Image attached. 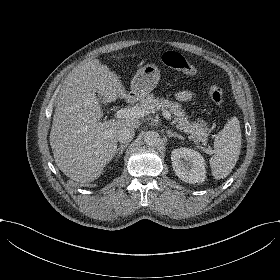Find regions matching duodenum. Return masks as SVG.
Instances as JSON below:
<instances>
[{"instance_id":"410a0bca","label":"duodenum","mask_w":280,"mask_h":280,"mask_svg":"<svg viewBox=\"0 0 280 280\" xmlns=\"http://www.w3.org/2000/svg\"><path fill=\"white\" fill-rule=\"evenodd\" d=\"M126 104H128V105H129V104H130V101H129V100H127V101H126Z\"/></svg>"}]
</instances>
